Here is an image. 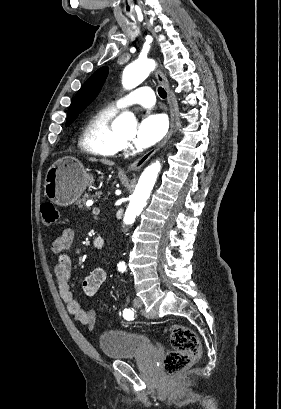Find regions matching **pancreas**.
<instances>
[{
    "label": "pancreas",
    "mask_w": 281,
    "mask_h": 409,
    "mask_svg": "<svg viewBox=\"0 0 281 409\" xmlns=\"http://www.w3.org/2000/svg\"><path fill=\"white\" fill-rule=\"evenodd\" d=\"M101 194H103L102 190H96L95 194H88V192H86L82 200L85 202V200H88V198H100Z\"/></svg>",
    "instance_id": "1"
}]
</instances>
